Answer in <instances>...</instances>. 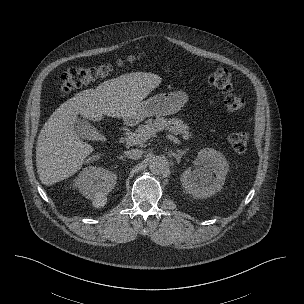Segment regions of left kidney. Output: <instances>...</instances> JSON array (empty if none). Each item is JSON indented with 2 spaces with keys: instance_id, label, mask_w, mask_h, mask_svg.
Here are the masks:
<instances>
[{
  "instance_id": "left-kidney-1",
  "label": "left kidney",
  "mask_w": 304,
  "mask_h": 304,
  "mask_svg": "<svg viewBox=\"0 0 304 304\" xmlns=\"http://www.w3.org/2000/svg\"><path fill=\"white\" fill-rule=\"evenodd\" d=\"M194 165L195 170L188 168L180 178L187 193L196 198H207L221 191L229 171V163L221 152L204 148L198 153Z\"/></svg>"
}]
</instances>
